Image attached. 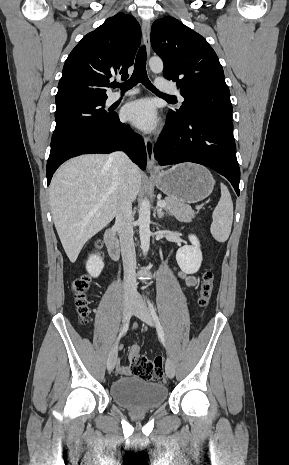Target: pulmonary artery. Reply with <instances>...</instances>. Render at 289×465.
Instances as JSON below:
<instances>
[{"mask_svg": "<svg viewBox=\"0 0 289 465\" xmlns=\"http://www.w3.org/2000/svg\"><path fill=\"white\" fill-rule=\"evenodd\" d=\"M155 86L156 88L159 90V91H162V92H168V93H173V94H178V91L177 89L175 88V86H173L172 84H170L169 82H167L164 78L162 77H158L155 81ZM138 92L137 89H132V90H128V91H125V92H121V91H118V92H114L112 94L109 95L108 97V102L109 103H114L116 101H118L119 99L121 98H124V97H128V96H131V95H134ZM178 98L180 101H184V98L178 94Z\"/></svg>", "mask_w": 289, "mask_h": 465, "instance_id": "obj_1", "label": "pulmonary artery"}]
</instances>
